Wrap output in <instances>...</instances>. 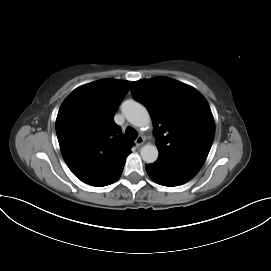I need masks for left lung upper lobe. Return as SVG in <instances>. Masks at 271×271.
<instances>
[{
	"mask_svg": "<svg viewBox=\"0 0 271 271\" xmlns=\"http://www.w3.org/2000/svg\"><path fill=\"white\" fill-rule=\"evenodd\" d=\"M131 88L152 116L159 157L201 168L215 131L205 98L195 88L164 76L132 82Z\"/></svg>",
	"mask_w": 271,
	"mask_h": 271,
	"instance_id": "left-lung-upper-lobe-1",
	"label": "left lung upper lobe"
}]
</instances>
